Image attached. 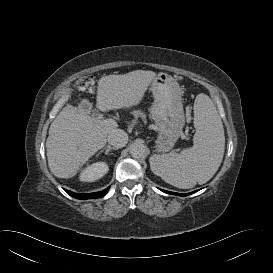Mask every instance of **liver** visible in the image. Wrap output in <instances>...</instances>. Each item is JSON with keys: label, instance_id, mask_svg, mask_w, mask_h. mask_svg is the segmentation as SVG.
<instances>
[{"label": "liver", "instance_id": "obj_1", "mask_svg": "<svg viewBox=\"0 0 273 273\" xmlns=\"http://www.w3.org/2000/svg\"><path fill=\"white\" fill-rule=\"evenodd\" d=\"M155 77L153 71L135 70L100 78L97 107L115 110L138 105ZM117 127L113 119L90 117V108L66 105L51 123L46 140L50 171L58 178L75 176L88 159L106 145L109 132Z\"/></svg>", "mask_w": 273, "mask_h": 273}]
</instances>
